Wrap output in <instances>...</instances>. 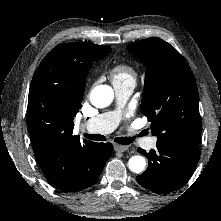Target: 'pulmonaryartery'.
<instances>
[{"mask_svg":"<svg viewBox=\"0 0 221 221\" xmlns=\"http://www.w3.org/2000/svg\"><path fill=\"white\" fill-rule=\"evenodd\" d=\"M133 88L134 84L131 83L114 85L118 108L115 111L105 112L85 121L86 130L91 133H109L113 131L121 120V108L132 94ZM156 142V137H148L141 141L142 145L148 149L154 148Z\"/></svg>","mask_w":221,"mask_h":221,"instance_id":"obj_1","label":"pulmonary artery"}]
</instances>
